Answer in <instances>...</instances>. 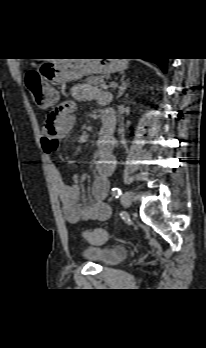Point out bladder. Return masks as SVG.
Returning a JSON list of instances; mask_svg holds the SVG:
<instances>
[{
  "label": "bladder",
  "mask_w": 206,
  "mask_h": 348,
  "mask_svg": "<svg viewBox=\"0 0 206 348\" xmlns=\"http://www.w3.org/2000/svg\"><path fill=\"white\" fill-rule=\"evenodd\" d=\"M83 256L101 265H115L126 260L129 252L122 246H87L82 251Z\"/></svg>",
  "instance_id": "31cf9c89"
}]
</instances>
